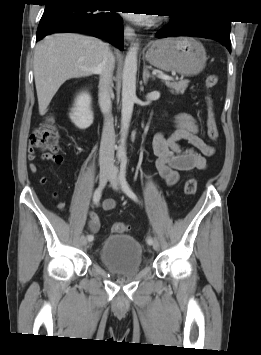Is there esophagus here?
<instances>
[{"instance_id": "esophagus-1", "label": "esophagus", "mask_w": 261, "mask_h": 355, "mask_svg": "<svg viewBox=\"0 0 261 355\" xmlns=\"http://www.w3.org/2000/svg\"><path fill=\"white\" fill-rule=\"evenodd\" d=\"M124 36H125V39H127L128 41H131L135 36L134 29L132 27H130L129 25H126L124 27Z\"/></svg>"}]
</instances>
